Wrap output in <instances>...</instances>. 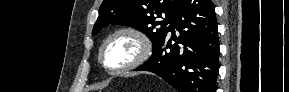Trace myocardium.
<instances>
[{
	"label": "myocardium",
	"instance_id": "f54148a6",
	"mask_svg": "<svg viewBox=\"0 0 289 92\" xmlns=\"http://www.w3.org/2000/svg\"><path fill=\"white\" fill-rule=\"evenodd\" d=\"M120 35H126L131 37L137 44V54L134 59L128 64L119 68H109L104 62V52L110 41ZM153 51V45L148 35L133 26L120 27L111 32L102 42L98 51V61L101 67L109 74H121L130 70H133L143 63H145L151 56Z\"/></svg>",
	"mask_w": 289,
	"mask_h": 92
}]
</instances>
